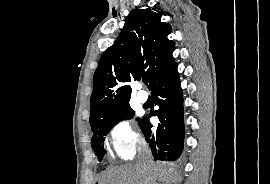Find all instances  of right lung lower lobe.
Here are the masks:
<instances>
[{
    "instance_id": "obj_1",
    "label": "right lung lower lobe",
    "mask_w": 270,
    "mask_h": 184,
    "mask_svg": "<svg viewBox=\"0 0 270 184\" xmlns=\"http://www.w3.org/2000/svg\"><path fill=\"white\" fill-rule=\"evenodd\" d=\"M150 90L159 106L153 114L159 118V124L153 127L144 117L139 126L149 142L154 160L175 161L182 153L184 141L183 95L177 64L157 78Z\"/></svg>"
}]
</instances>
